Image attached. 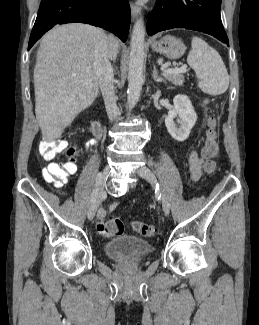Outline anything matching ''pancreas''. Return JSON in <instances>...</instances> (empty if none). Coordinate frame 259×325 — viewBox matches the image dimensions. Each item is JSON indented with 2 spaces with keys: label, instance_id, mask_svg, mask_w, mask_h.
Wrapping results in <instances>:
<instances>
[{
  "label": "pancreas",
  "instance_id": "obj_1",
  "mask_svg": "<svg viewBox=\"0 0 259 325\" xmlns=\"http://www.w3.org/2000/svg\"><path fill=\"white\" fill-rule=\"evenodd\" d=\"M165 79L176 86H182L184 82V76L182 73H163Z\"/></svg>",
  "mask_w": 259,
  "mask_h": 325
}]
</instances>
